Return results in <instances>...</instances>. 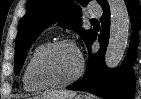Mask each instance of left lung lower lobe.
<instances>
[{
    "mask_svg": "<svg viewBox=\"0 0 141 99\" xmlns=\"http://www.w3.org/2000/svg\"><path fill=\"white\" fill-rule=\"evenodd\" d=\"M132 22V38L129 52L122 65L117 69H109L105 65V51L109 40L110 9L109 5L102 7L101 18L102 30L98 37L100 49L89 57L84 77L77 83L70 85L67 89L77 91H88L96 96L105 99H133L134 78L132 64L135 60V48L138 43L137 31L140 27L139 15L141 12L138 0H125ZM96 39L92 34L86 43L90 46Z\"/></svg>",
    "mask_w": 141,
    "mask_h": 99,
    "instance_id": "1",
    "label": "left lung lower lobe"
}]
</instances>
